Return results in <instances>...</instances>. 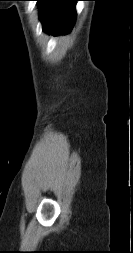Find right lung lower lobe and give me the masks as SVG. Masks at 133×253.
I'll return each instance as SVG.
<instances>
[{"instance_id":"98d812e1","label":"right lung lower lobe","mask_w":133,"mask_h":253,"mask_svg":"<svg viewBox=\"0 0 133 253\" xmlns=\"http://www.w3.org/2000/svg\"><path fill=\"white\" fill-rule=\"evenodd\" d=\"M40 3V20L43 30L57 35L71 31L75 18V3L78 0H36Z\"/></svg>"}]
</instances>
